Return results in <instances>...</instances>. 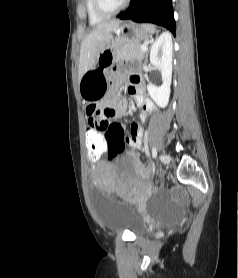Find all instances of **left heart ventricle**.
I'll return each instance as SVG.
<instances>
[{"mask_svg":"<svg viewBox=\"0 0 238 278\" xmlns=\"http://www.w3.org/2000/svg\"><path fill=\"white\" fill-rule=\"evenodd\" d=\"M123 0H103L104 5L108 8V9H113L118 7Z\"/></svg>","mask_w":238,"mask_h":278,"instance_id":"b2bd125f","label":"left heart ventricle"}]
</instances>
